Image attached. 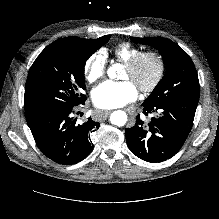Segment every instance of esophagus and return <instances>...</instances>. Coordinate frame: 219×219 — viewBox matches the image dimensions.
<instances>
[{
  "label": "esophagus",
  "instance_id": "34e87169",
  "mask_svg": "<svg viewBox=\"0 0 219 219\" xmlns=\"http://www.w3.org/2000/svg\"><path fill=\"white\" fill-rule=\"evenodd\" d=\"M101 113L102 114H101L100 120L104 121V120H106L108 118V116L111 113V111L110 110H105V111H102Z\"/></svg>",
  "mask_w": 219,
  "mask_h": 219
}]
</instances>
